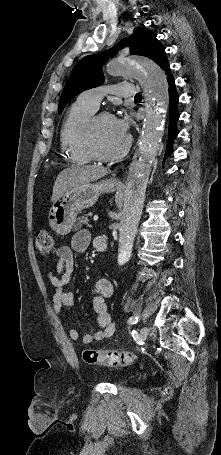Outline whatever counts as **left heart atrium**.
Segmentation results:
<instances>
[{"instance_id":"obj_1","label":"left heart atrium","mask_w":221,"mask_h":455,"mask_svg":"<svg viewBox=\"0 0 221 455\" xmlns=\"http://www.w3.org/2000/svg\"><path fill=\"white\" fill-rule=\"evenodd\" d=\"M116 122H117V125H118V128L120 129V131L127 135L128 133V129H129V125H130V119L128 116H124L122 118H116Z\"/></svg>"}]
</instances>
